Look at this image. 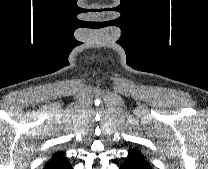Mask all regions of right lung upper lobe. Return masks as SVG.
<instances>
[{
	"label": "right lung upper lobe",
	"mask_w": 208,
	"mask_h": 169,
	"mask_svg": "<svg viewBox=\"0 0 208 169\" xmlns=\"http://www.w3.org/2000/svg\"><path fill=\"white\" fill-rule=\"evenodd\" d=\"M64 158H65L64 152L54 153L53 156H52V158L46 163L44 169H46V167L50 166L51 164H53L55 162H58V161H60V160H62Z\"/></svg>",
	"instance_id": "right-lung-upper-lobe-1"
}]
</instances>
